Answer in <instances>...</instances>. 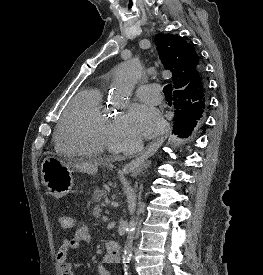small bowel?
<instances>
[{"label": "small bowel", "instance_id": "c3829d8e", "mask_svg": "<svg viewBox=\"0 0 263 275\" xmlns=\"http://www.w3.org/2000/svg\"><path fill=\"white\" fill-rule=\"evenodd\" d=\"M91 241V234L86 226H81L75 230L72 236L66 237L57 254V261L59 264L61 275H74L72 264L69 261V253L77 250L82 243ZM101 275H110L104 268L99 269Z\"/></svg>", "mask_w": 263, "mask_h": 275}]
</instances>
